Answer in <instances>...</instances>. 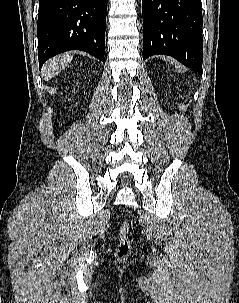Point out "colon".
Returning a JSON list of instances; mask_svg holds the SVG:
<instances>
[{
	"label": "colon",
	"instance_id": "colon-1",
	"mask_svg": "<svg viewBox=\"0 0 239 303\" xmlns=\"http://www.w3.org/2000/svg\"><path fill=\"white\" fill-rule=\"evenodd\" d=\"M129 232H130V224L127 221H123L120 224L118 230V239H119V246L117 249V256L119 258H125L130 250L129 245Z\"/></svg>",
	"mask_w": 239,
	"mask_h": 303
}]
</instances>
